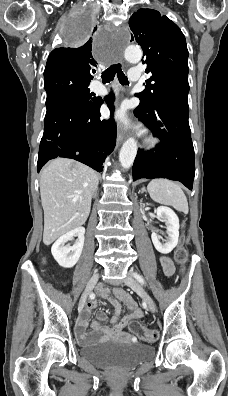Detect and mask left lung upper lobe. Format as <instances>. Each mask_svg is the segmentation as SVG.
Wrapping results in <instances>:
<instances>
[{
  "label": "left lung upper lobe",
  "instance_id": "obj_1",
  "mask_svg": "<svg viewBox=\"0 0 228 396\" xmlns=\"http://www.w3.org/2000/svg\"><path fill=\"white\" fill-rule=\"evenodd\" d=\"M129 25L131 41L141 45L145 72L151 75L145 90L137 94L140 105L150 108L165 95L188 94L189 53L180 28L153 9H139Z\"/></svg>",
  "mask_w": 228,
  "mask_h": 396
}]
</instances>
